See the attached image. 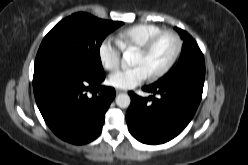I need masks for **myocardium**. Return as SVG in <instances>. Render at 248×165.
<instances>
[{"label":"myocardium","mask_w":248,"mask_h":165,"mask_svg":"<svg viewBox=\"0 0 248 165\" xmlns=\"http://www.w3.org/2000/svg\"><path fill=\"white\" fill-rule=\"evenodd\" d=\"M171 37L174 41V50L173 53L171 55V57L169 58V60L165 63V65H163L159 70H157L156 72H154L151 75V79L155 80L158 79L162 76H164L177 62L180 54H181V50H182V41L181 38L179 37V35L177 33H175L174 31H170V30H165L162 31L154 36H152L150 39H148L140 48H138V52L142 53V54H147L149 53L155 46L156 44L163 39L164 37Z\"/></svg>","instance_id":"myocardium-1"}]
</instances>
